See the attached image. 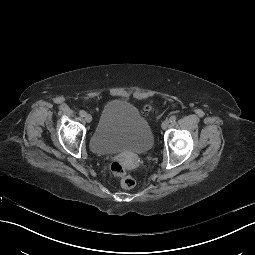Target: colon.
I'll return each mask as SVG.
<instances>
[{
	"label": "colon",
	"instance_id": "obj_1",
	"mask_svg": "<svg viewBox=\"0 0 255 255\" xmlns=\"http://www.w3.org/2000/svg\"><path fill=\"white\" fill-rule=\"evenodd\" d=\"M144 109L146 112H150L152 107L150 105H146ZM110 168L113 174L119 178V182L122 188L131 189L135 186L136 181L133 176L127 172L123 162L114 160L111 163Z\"/></svg>",
	"mask_w": 255,
	"mask_h": 255
}]
</instances>
